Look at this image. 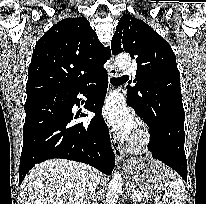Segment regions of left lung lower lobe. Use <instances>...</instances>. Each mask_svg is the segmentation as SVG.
<instances>
[{"instance_id":"0a47b994","label":"left lung lower lobe","mask_w":206,"mask_h":204,"mask_svg":"<svg viewBox=\"0 0 206 204\" xmlns=\"http://www.w3.org/2000/svg\"><path fill=\"white\" fill-rule=\"evenodd\" d=\"M127 102L133 107L131 101ZM184 118L183 105L173 108L168 114L161 116L157 130H150V150L156 158L174 169L187 181V160L184 151Z\"/></svg>"}]
</instances>
